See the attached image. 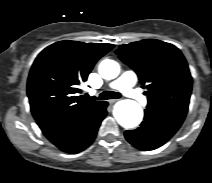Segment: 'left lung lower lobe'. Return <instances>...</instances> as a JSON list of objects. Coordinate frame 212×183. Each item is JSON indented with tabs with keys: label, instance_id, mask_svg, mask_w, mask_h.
Returning a JSON list of instances; mask_svg holds the SVG:
<instances>
[{
	"label": "left lung lower lobe",
	"instance_id": "1",
	"mask_svg": "<svg viewBox=\"0 0 212 183\" xmlns=\"http://www.w3.org/2000/svg\"><path fill=\"white\" fill-rule=\"evenodd\" d=\"M183 119L145 110L144 121L125 132L127 141L140 150H153L166 143L180 128Z\"/></svg>",
	"mask_w": 212,
	"mask_h": 183
}]
</instances>
